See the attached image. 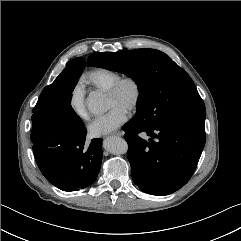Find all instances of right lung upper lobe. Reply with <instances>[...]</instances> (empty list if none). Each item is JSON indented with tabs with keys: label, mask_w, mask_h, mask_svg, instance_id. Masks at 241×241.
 I'll list each match as a JSON object with an SVG mask.
<instances>
[{
	"label": "right lung upper lobe",
	"mask_w": 241,
	"mask_h": 241,
	"mask_svg": "<svg viewBox=\"0 0 241 241\" xmlns=\"http://www.w3.org/2000/svg\"><path fill=\"white\" fill-rule=\"evenodd\" d=\"M77 59H78V58H75V59L71 60V61L67 64L66 67L71 66L72 64H74Z\"/></svg>",
	"instance_id": "right-lung-upper-lobe-1"
}]
</instances>
